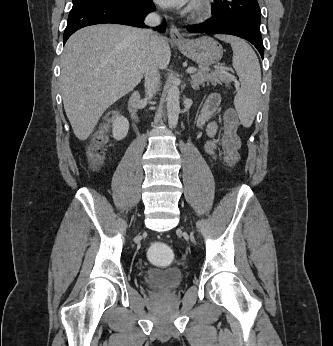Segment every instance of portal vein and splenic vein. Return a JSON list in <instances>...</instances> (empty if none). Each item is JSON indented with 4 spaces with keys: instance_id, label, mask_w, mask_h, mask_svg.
I'll return each instance as SVG.
<instances>
[{
    "instance_id": "portal-vein-and-splenic-vein-1",
    "label": "portal vein and splenic vein",
    "mask_w": 333,
    "mask_h": 346,
    "mask_svg": "<svg viewBox=\"0 0 333 346\" xmlns=\"http://www.w3.org/2000/svg\"><path fill=\"white\" fill-rule=\"evenodd\" d=\"M222 72H225V69L224 68H220ZM195 72V68L193 67H190L187 69V73L191 74V73H194Z\"/></svg>"
}]
</instances>
